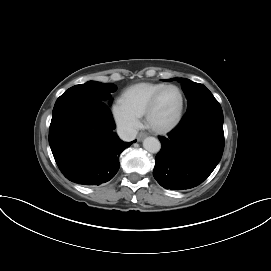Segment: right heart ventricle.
<instances>
[{
  "mask_svg": "<svg viewBox=\"0 0 271 271\" xmlns=\"http://www.w3.org/2000/svg\"><path fill=\"white\" fill-rule=\"evenodd\" d=\"M165 84L143 82L126 88L120 97L121 103L133 114L142 117L153 95Z\"/></svg>",
  "mask_w": 271,
  "mask_h": 271,
  "instance_id": "obj_1",
  "label": "right heart ventricle"
}]
</instances>
